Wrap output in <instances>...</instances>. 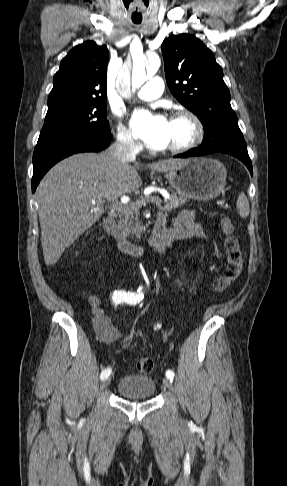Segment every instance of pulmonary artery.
Segmentation results:
<instances>
[{
	"label": "pulmonary artery",
	"mask_w": 287,
	"mask_h": 486,
	"mask_svg": "<svg viewBox=\"0 0 287 486\" xmlns=\"http://www.w3.org/2000/svg\"><path fill=\"white\" fill-rule=\"evenodd\" d=\"M163 91V82L161 78L155 77L147 81L136 93L137 97L151 101L161 96Z\"/></svg>",
	"instance_id": "e3ab8cb5"
}]
</instances>
